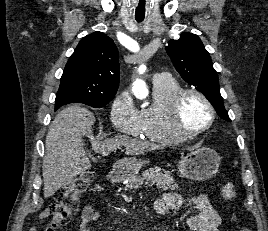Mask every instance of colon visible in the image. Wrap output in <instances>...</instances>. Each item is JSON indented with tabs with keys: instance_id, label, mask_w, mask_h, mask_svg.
<instances>
[{
	"instance_id": "5ec220e1",
	"label": "colon",
	"mask_w": 268,
	"mask_h": 231,
	"mask_svg": "<svg viewBox=\"0 0 268 231\" xmlns=\"http://www.w3.org/2000/svg\"><path fill=\"white\" fill-rule=\"evenodd\" d=\"M92 174L93 170H87L56 191L53 202L42 216L44 221L39 230L55 231L70 220L78 208L81 196L88 188ZM239 231H253V226L243 225Z\"/></svg>"
}]
</instances>
